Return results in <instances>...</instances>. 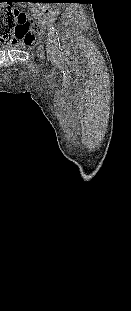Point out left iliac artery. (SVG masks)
Instances as JSON below:
<instances>
[{
    "label": "left iliac artery",
    "mask_w": 131,
    "mask_h": 311,
    "mask_svg": "<svg viewBox=\"0 0 131 311\" xmlns=\"http://www.w3.org/2000/svg\"><path fill=\"white\" fill-rule=\"evenodd\" d=\"M48 37L54 49H60L59 35L57 30L53 25H50L48 28Z\"/></svg>",
    "instance_id": "44dca946"
}]
</instances>
